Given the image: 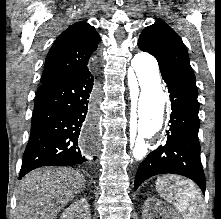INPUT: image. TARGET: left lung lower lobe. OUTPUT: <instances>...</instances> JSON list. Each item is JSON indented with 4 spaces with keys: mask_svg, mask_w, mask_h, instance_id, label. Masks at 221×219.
I'll return each mask as SVG.
<instances>
[{
    "mask_svg": "<svg viewBox=\"0 0 221 219\" xmlns=\"http://www.w3.org/2000/svg\"><path fill=\"white\" fill-rule=\"evenodd\" d=\"M171 101L170 128L166 143L149 153L140 164L134 189L158 174H179L193 180L205 193V175L200 161L199 103L197 88L174 74L161 72Z\"/></svg>",
    "mask_w": 221,
    "mask_h": 219,
    "instance_id": "obj_1",
    "label": "left lung lower lobe"
}]
</instances>
